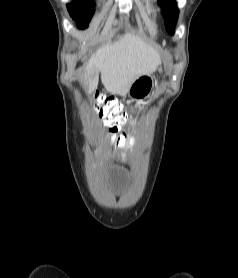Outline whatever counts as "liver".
<instances>
[{"instance_id":"6515ba94","label":"liver","mask_w":238,"mask_h":278,"mask_svg":"<svg viewBox=\"0 0 238 278\" xmlns=\"http://www.w3.org/2000/svg\"><path fill=\"white\" fill-rule=\"evenodd\" d=\"M160 64L159 53L139 37L125 33L114 42H107L85 65L84 82L88 90L97 88L99 76L105 89L125 96L135 79L152 74Z\"/></svg>"}]
</instances>
